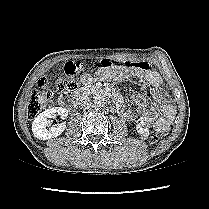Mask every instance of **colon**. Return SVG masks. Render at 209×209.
<instances>
[{
  "instance_id": "colon-1",
  "label": "colon",
  "mask_w": 209,
  "mask_h": 209,
  "mask_svg": "<svg viewBox=\"0 0 209 209\" xmlns=\"http://www.w3.org/2000/svg\"><path fill=\"white\" fill-rule=\"evenodd\" d=\"M83 71V67L77 62H69L65 65L64 76L60 77L56 83L55 88L59 92H70L77 88L78 75ZM53 85L47 78H41L37 87L32 91L28 106L27 116L32 119L36 117L39 112L47 106L53 98ZM165 128L156 130L155 139L164 136Z\"/></svg>"
}]
</instances>
